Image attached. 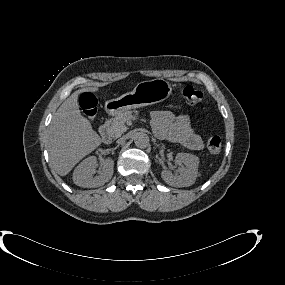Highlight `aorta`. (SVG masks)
I'll use <instances>...</instances> for the list:
<instances>
[{
  "instance_id": "obj_1",
  "label": "aorta",
  "mask_w": 285,
  "mask_h": 285,
  "mask_svg": "<svg viewBox=\"0 0 285 285\" xmlns=\"http://www.w3.org/2000/svg\"><path fill=\"white\" fill-rule=\"evenodd\" d=\"M134 143L139 148H146L149 145V136L145 132H138L134 137Z\"/></svg>"
}]
</instances>
